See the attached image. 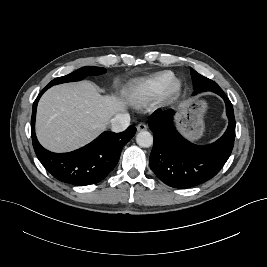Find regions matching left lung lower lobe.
Returning a JSON list of instances; mask_svg holds the SVG:
<instances>
[{
  "label": "left lung lower lobe",
  "instance_id": "1",
  "mask_svg": "<svg viewBox=\"0 0 267 267\" xmlns=\"http://www.w3.org/2000/svg\"><path fill=\"white\" fill-rule=\"evenodd\" d=\"M204 91H212L224 99L229 119L224 135L212 144L199 146L184 139L173 124V109L156 111L149 118V128L154 136L149 164L168 186L191 188L206 182L220 171L232 152L235 139L233 106L221 89L208 87L193 94Z\"/></svg>",
  "mask_w": 267,
  "mask_h": 267
}]
</instances>
